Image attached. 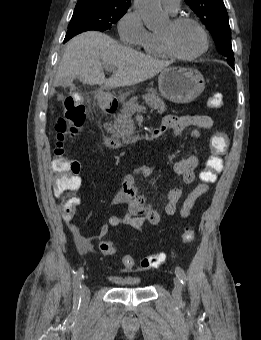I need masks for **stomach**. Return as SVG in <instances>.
Here are the masks:
<instances>
[{"mask_svg":"<svg viewBox=\"0 0 261 340\" xmlns=\"http://www.w3.org/2000/svg\"><path fill=\"white\" fill-rule=\"evenodd\" d=\"M158 86L164 98L174 103L186 104L194 101L204 91L205 80L198 70L169 67L161 71Z\"/></svg>","mask_w":261,"mask_h":340,"instance_id":"stomach-1","label":"stomach"}]
</instances>
